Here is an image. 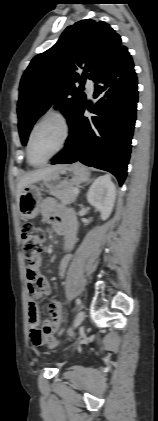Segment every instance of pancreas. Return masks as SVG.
Here are the masks:
<instances>
[{
    "label": "pancreas",
    "instance_id": "pancreas-1",
    "mask_svg": "<svg viewBox=\"0 0 158 421\" xmlns=\"http://www.w3.org/2000/svg\"><path fill=\"white\" fill-rule=\"evenodd\" d=\"M75 187H67L61 190H54L50 194L59 199L63 204L75 202L77 195L73 193Z\"/></svg>",
    "mask_w": 158,
    "mask_h": 421
}]
</instances>
